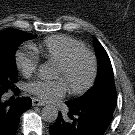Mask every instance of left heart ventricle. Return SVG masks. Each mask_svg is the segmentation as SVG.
<instances>
[{
	"label": "left heart ventricle",
	"mask_w": 135,
	"mask_h": 135,
	"mask_svg": "<svg viewBox=\"0 0 135 135\" xmlns=\"http://www.w3.org/2000/svg\"><path fill=\"white\" fill-rule=\"evenodd\" d=\"M90 75V62L87 58L79 59L68 72H63L58 66L54 78L63 80L68 87L80 88Z\"/></svg>",
	"instance_id": "obj_1"
}]
</instances>
